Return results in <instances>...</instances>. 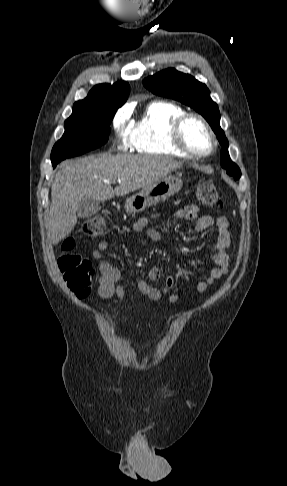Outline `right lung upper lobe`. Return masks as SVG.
Listing matches in <instances>:
<instances>
[{
  "label": "right lung upper lobe",
  "instance_id": "obj_1",
  "mask_svg": "<svg viewBox=\"0 0 287 486\" xmlns=\"http://www.w3.org/2000/svg\"><path fill=\"white\" fill-rule=\"evenodd\" d=\"M129 84L119 81L113 85L104 83L94 86L83 100L74 103L73 109L105 108L116 111L127 100Z\"/></svg>",
  "mask_w": 287,
  "mask_h": 486
}]
</instances>
